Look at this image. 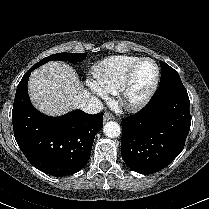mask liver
I'll return each mask as SVG.
<instances>
[{
  "mask_svg": "<svg viewBox=\"0 0 209 209\" xmlns=\"http://www.w3.org/2000/svg\"><path fill=\"white\" fill-rule=\"evenodd\" d=\"M30 99L38 110L48 116H61L75 109L78 102L89 98L74 69L52 61L34 70L28 83Z\"/></svg>",
  "mask_w": 209,
  "mask_h": 209,
  "instance_id": "obj_1",
  "label": "liver"
}]
</instances>
